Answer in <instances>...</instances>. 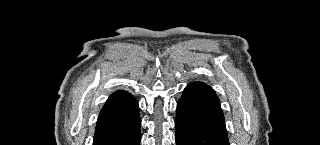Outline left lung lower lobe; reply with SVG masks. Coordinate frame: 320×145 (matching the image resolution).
<instances>
[{"label": "left lung lower lobe", "mask_w": 320, "mask_h": 145, "mask_svg": "<svg viewBox=\"0 0 320 145\" xmlns=\"http://www.w3.org/2000/svg\"><path fill=\"white\" fill-rule=\"evenodd\" d=\"M176 145H229L224 115L215 91L190 83L177 105Z\"/></svg>", "instance_id": "0a47b994"}]
</instances>
